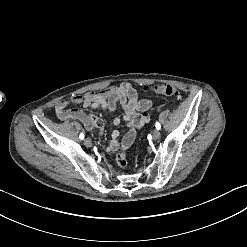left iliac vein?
I'll return each mask as SVG.
<instances>
[{"mask_svg":"<svg viewBox=\"0 0 247 247\" xmlns=\"http://www.w3.org/2000/svg\"><path fill=\"white\" fill-rule=\"evenodd\" d=\"M152 137L154 140H158L160 137V131L158 129H155L152 133Z\"/></svg>","mask_w":247,"mask_h":247,"instance_id":"obj_1","label":"left iliac vein"}]
</instances>
